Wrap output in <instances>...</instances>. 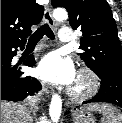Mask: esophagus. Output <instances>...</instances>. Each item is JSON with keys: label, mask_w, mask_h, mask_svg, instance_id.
I'll list each match as a JSON object with an SVG mask.
<instances>
[{"label": "esophagus", "mask_w": 122, "mask_h": 123, "mask_svg": "<svg viewBox=\"0 0 122 123\" xmlns=\"http://www.w3.org/2000/svg\"><path fill=\"white\" fill-rule=\"evenodd\" d=\"M43 21L45 23H48L50 26L54 25V20L52 17V12H51V8L49 6L46 7L44 15H43ZM43 87V91L47 94H52L54 93V90L51 86H49L48 84H42Z\"/></svg>", "instance_id": "obj_1"}]
</instances>
